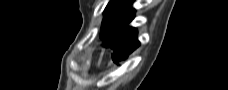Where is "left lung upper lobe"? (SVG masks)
<instances>
[{"instance_id":"obj_1","label":"left lung upper lobe","mask_w":228,"mask_h":90,"mask_svg":"<svg viewBox=\"0 0 228 90\" xmlns=\"http://www.w3.org/2000/svg\"><path fill=\"white\" fill-rule=\"evenodd\" d=\"M132 0H111L104 10L101 33H105L117 23L118 15L125 11H134L131 8Z\"/></svg>"}]
</instances>
